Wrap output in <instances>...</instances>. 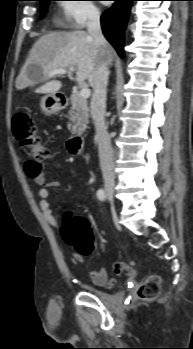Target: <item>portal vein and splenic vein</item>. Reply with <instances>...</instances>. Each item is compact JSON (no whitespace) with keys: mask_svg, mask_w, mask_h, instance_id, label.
Returning <instances> with one entry per match:
<instances>
[{"mask_svg":"<svg viewBox=\"0 0 193 349\" xmlns=\"http://www.w3.org/2000/svg\"><path fill=\"white\" fill-rule=\"evenodd\" d=\"M67 73H69V71H67L66 69H58V70H54V71L49 72V77L65 75ZM79 94L81 97L87 98L90 96V90L88 87H82Z\"/></svg>","mask_w":193,"mask_h":349,"instance_id":"18ae733b","label":"portal vein and splenic vein"}]
</instances>
